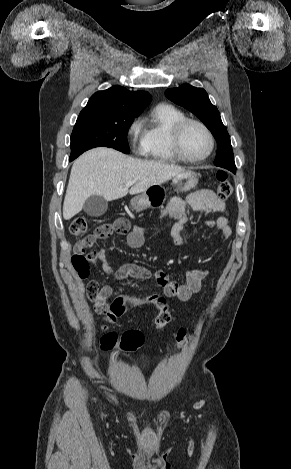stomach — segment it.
<instances>
[{
	"label": "stomach",
	"instance_id": "0dacf381",
	"mask_svg": "<svg viewBox=\"0 0 291 469\" xmlns=\"http://www.w3.org/2000/svg\"><path fill=\"white\" fill-rule=\"evenodd\" d=\"M198 183V176L193 171H183L172 178V186L177 193L187 192L193 189ZM167 198L166 189L160 185H152L141 194L132 198L130 204L136 211L147 208L160 207Z\"/></svg>",
	"mask_w": 291,
	"mask_h": 469
}]
</instances>
